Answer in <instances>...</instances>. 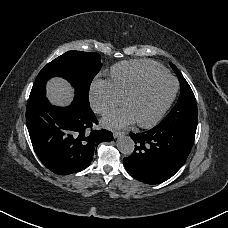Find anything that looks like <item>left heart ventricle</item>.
<instances>
[{
    "mask_svg": "<svg viewBox=\"0 0 228 228\" xmlns=\"http://www.w3.org/2000/svg\"><path fill=\"white\" fill-rule=\"evenodd\" d=\"M170 79H159L128 103V108L140 122L150 121L160 110L172 90Z\"/></svg>",
    "mask_w": 228,
    "mask_h": 228,
    "instance_id": "left-heart-ventricle-1",
    "label": "left heart ventricle"
}]
</instances>
